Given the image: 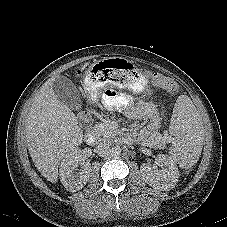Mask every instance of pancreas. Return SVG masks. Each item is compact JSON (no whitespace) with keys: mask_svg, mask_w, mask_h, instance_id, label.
<instances>
[{"mask_svg":"<svg viewBox=\"0 0 227 227\" xmlns=\"http://www.w3.org/2000/svg\"><path fill=\"white\" fill-rule=\"evenodd\" d=\"M93 132L99 139L103 140H110L116 135V130H114L112 125L107 121L96 124Z\"/></svg>","mask_w":227,"mask_h":227,"instance_id":"cf45deb5","label":"pancreas"}]
</instances>
